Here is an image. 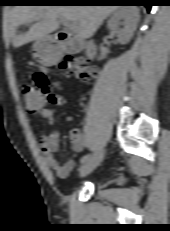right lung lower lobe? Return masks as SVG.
Instances as JSON below:
<instances>
[{
    "label": "right lung lower lobe",
    "mask_w": 170,
    "mask_h": 231,
    "mask_svg": "<svg viewBox=\"0 0 170 231\" xmlns=\"http://www.w3.org/2000/svg\"><path fill=\"white\" fill-rule=\"evenodd\" d=\"M140 2H142L140 5H144L147 8V11H150L152 6L150 0H141Z\"/></svg>",
    "instance_id": "1"
}]
</instances>
